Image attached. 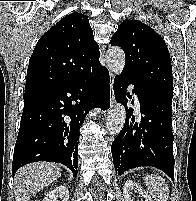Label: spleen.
Instances as JSON below:
<instances>
[{"mask_svg":"<svg viewBox=\"0 0 196 201\" xmlns=\"http://www.w3.org/2000/svg\"><path fill=\"white\" fill-rule=\"evenodd\" d=\"M145 184L148 187L150 195L156 201H167L169 195V187L161 176H146Z\"/></svg>","mask_w":196,"mask_h":201,"instance_id":"obj_1","label":"spleen"}]
</instances>
